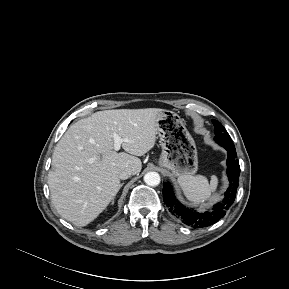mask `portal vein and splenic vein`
Returning <instances> with one entry per match:
<instances>
[{"label":"portal vein and splenic vein","instance_id":"1","mask_svg":"<svg viewBox=\"0 0 289 289\" xmlns=\"http://www.w3.org/2000/svg\"><path fill=\"white\" fill-rule=\"evenodd\" d=\"M113 140H114V150L118 151L122 145L123 142H129L128 139L121 138L117 133L113 134Z\"/></svg>","mask_w":289,"mask_h":289}]
</instances>
